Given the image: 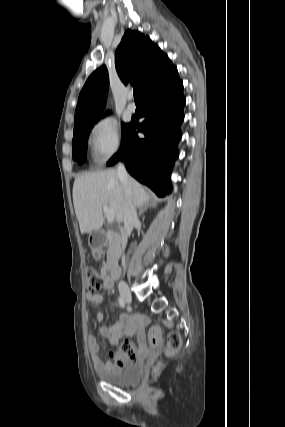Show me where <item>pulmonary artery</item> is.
I'll list each match as a JSON object with an SVG mask.
<instances>
[{"label":"pulmonary artery","instance_id":"pulmonary-artery-1","mask_svg":"<svg viewBox=\"0 0 285 427\" xmlns=\"http://www.w3.org/2000/svg\"><path fill=\"white\" fill-rule=\"evenodd\" d=\"M128 105H127V109L130 111V112H134L135 110H136V104H135V102L133 101V97H132V95H129L128 96Z\"/></svg>","mask_w":285,"mask_h":427}]
</instances>
